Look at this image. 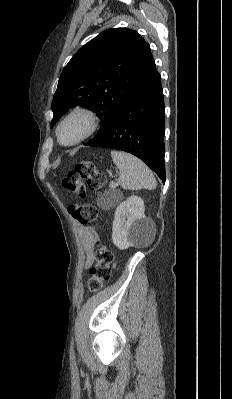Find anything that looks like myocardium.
<instances>
[{
    "instance_id": "f54148a6",
    "label": "myocardium",
    "mask_w": 232,
    "mask_h": 399,
    "mask_svg": "<svg viewBox=\"0 0 232 399\" xmlns=\"http://www.w3.org/2000/svg\"><path fill=\"white\" fill-rule=\"evenodd\" d=\"M75 115H83L86 117L88 121V128L86 132L77 140L71 142V143H64L61 139V128L64 125V123L72 118ZM99 115L95 109L89 106H76L72 108L70 111H68L64 117L60 120L58 126H57V137L58 140L60 141L61 144L65 146H73L76 144L81 143L82 141L86 140L89 138L91 135H93L99 128Z\"/></svg>"
}]
</instances>
